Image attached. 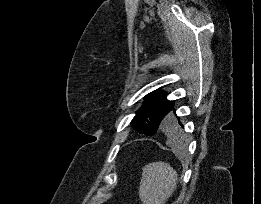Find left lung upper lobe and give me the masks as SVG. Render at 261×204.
<instances>
[{"instance_id": "left-lung-upper-lobe-1", "label": "left lung upper lobe", "mask_w": 261, "mask_h": 204, "mask_svg": "<svg viewBox=\"0 0 261 204\" xmlns=\"http://www.w3.org/2000/svg\"><path fill=\"white\" fill-rule=\"evenodd\" d=\"M173 108V102L166 99V93L154 91L146 96V102L131 121V126L139 133L153 135L162 130L168 121V113Z\"/></svg>"}]
</instances>
